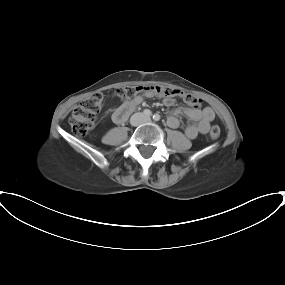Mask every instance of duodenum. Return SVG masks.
<instances>
[{"mask_svg": "<svg viewBox=\"0 0 285 285\" xmlns=\"http://www.w3.org/2000/svg\"><path fill=\"white\" fill-rule=\"evenodd\" d=\"M135 107L130 103L124 104L114 114V121L116 123H122L126 120L128 115L132 112Z\"/></svg>", "mask_w": 285, "mask_h": 285, "instance_id": "obj_1", "label": "duodenum"}]
</instances>
